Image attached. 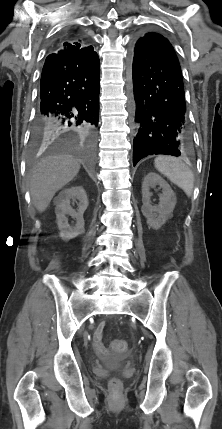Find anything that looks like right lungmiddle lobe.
<instances>
[{
    "label": "right lung middle lobe",
    "mask_w": 222,
    "mask_h": 429,
    "mask_svg": "<svg viewBox=\"0 0 222 429\" xmlns=\"http://www.w3.org/2000/svg\"><path fill=\"white\" fill-rule=\"evenodd\" d=\"M50 137L51 134H48L43 130H34L32 133L33 147L36 148L41 143H45Z\"/></svg>",
    "instance_id": "dd1d6c3e"
}]
</instances>
